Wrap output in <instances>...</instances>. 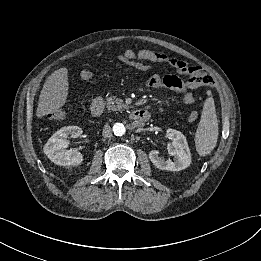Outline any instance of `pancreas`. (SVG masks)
I'll return each mask as SVG.
<instances>
[{
	"instance_id": "1",
	"label": "pancreas",
	"mask_w": 261,
	"mask_h": 261,
	"mask_svg": "<svg viewBox=\"0 0 261 261\" xmlns=\"http://www.w3.org/2000/svg\"><path fill=\"white\" fill-rule=\"evenodd\" d=\"M107 108L112 111L126 109L127 105L123 103L122 99L115 96L107 98Z\"/></svg>"
}]
</instances>
